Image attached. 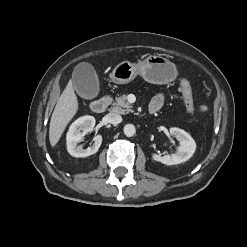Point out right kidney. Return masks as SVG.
Here are the masks:
<instances>
[{
	"label": "right kidney",
	"mask_w": 247,
	"mask_h": 247,
	"mask_svg": "<svg viewBox=\"0 0 247 247\" xmlns=\"http://www.w3.org/2000/svg\"><path fill=\"white\" fill-rule=\"evenodd\" d=\"M95 118L93 116H83L73 122L67 133V150L73 157H87L98 151L102 143V136L94 137V144L87 149H83L78 143L81 139L95 126Z\"/></svg>",
	"instance_id": "obj_1"
}]
</instances>
